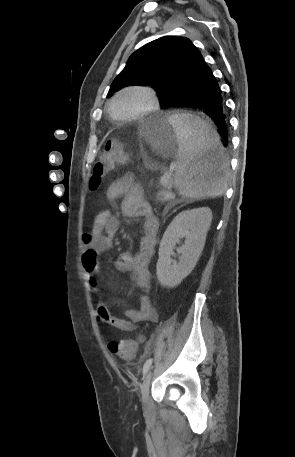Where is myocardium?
<instances>
[{"label":"myocardium","mask_w":295,"mask_h":457,"mask_svg":"<svg viewBox=\"0 0 295 457\" xmlns=\"http://www.w3.org/2000/svg\"><path fill=\"white\" fill-rule=\"evenodd\" d=\"M130 92H137V93L142 94L147 100L146 106L142 110H140L139 112H137L131 116H126V117L117 116L114 112L115 102L117 101V99L120 96H122L123 94H126V93H130ZM158 107H159V99L153 88H151L149 86H143V85H133V86H128V87L122 88L121 90L116 92V94L113 96V98L111 99V101L109 103V113H110V116L116 121L129 122V121H135V120L142 119V118L152 114L153 112H155L158 109Z\"/></svg>","instance_id":"1"}]
</instances>
